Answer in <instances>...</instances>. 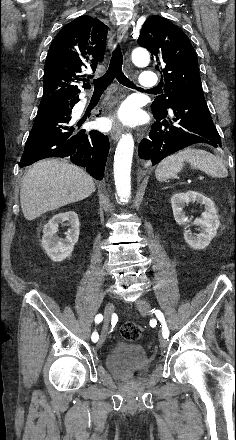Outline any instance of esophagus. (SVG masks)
<instances>
[{
  "label": "esophagus",
  "instance_id": "obj_1",
  "mask_svg": "<svg viewBox=\"0 0 236 440\" xmlns=\"http://www.w3.org/2000/svg\"><path fill=\"white\" fill-rule=\"evenodd\" d=\"M127 30H128V26L127 25H123V26L118 28V30H117L118 42L121 43L123 41H126V39L128 37ZM122 130H123L122 125L118 121H115L113 123L111 131H110L111 138L113 140H117L120 137Z\"/></svg>",
  "mask_w": 236,
  "mask_h": 440
}]
</instances>
